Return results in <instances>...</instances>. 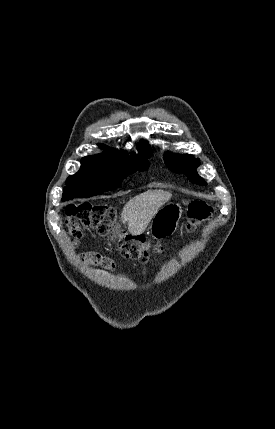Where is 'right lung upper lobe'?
<instances>
[{
    "label": "right lung upper lobe",
    "instance_id": "obj_1",
    "mask_svg": "<svg viewBox=\"0 0 275 429\" xmlns=\"http://www.w3.org/2000/svg\"><path fill=\"white\" fill-rule=\"evenodd\" d=\"M99 146L105 151V153L86 156L82 159L81 163L109 165L115 160H118L125 156H129L126 151L111 150L107 146L101 145V144ZM137 148H138L139 154L136 155L132 153L130 157L143 158V157L152 155V150L146 141L141 140L140 143L137 144Z\"/></svg>",
    "mask_w": 275,
    "mask_h": 429
}]
</instances>
